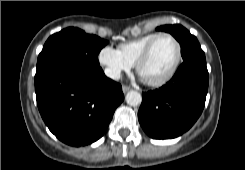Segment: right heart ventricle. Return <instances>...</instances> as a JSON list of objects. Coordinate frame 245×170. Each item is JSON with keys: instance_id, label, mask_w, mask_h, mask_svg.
I'll return each mask as SVG.
<instances>
[{"instance_id": "1", "label": "right heart ventricle", "mask_w": 245, "mask_h": 170, "mask_svg": "<svg viewBox=\"0 0 245 170\" xmlns=\"http://www.w3.org/2000/svg\"><path fill=\"white\" fill-rule=\"evenodd\" d=\"M158 34L159 33H150L137 39L125 42L119 46V50L126 60L133 65L146 45Z\"/></svg>"}]
</instances>
